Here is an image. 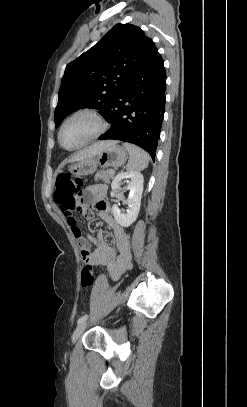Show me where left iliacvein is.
I'll return each instance as SVG.
<instances>
[{"mask_svg": "<svg viewBox=\"0 0 247 407\" xmlns=\"http://www.w3.org/2000/svg\"><path fill=\"white\" fill-rule=\"evenodd\" d=\"M87 326V322L84 321L82 323H80L76 329L74 330L73 334H72V342L75 343L83 334V332L85 331Z\"/></svg>", "mask_w": 247, "mask_h": 407, "instance_id": "4c4485c4", "label": "left iliac vein"}]
</instances>
